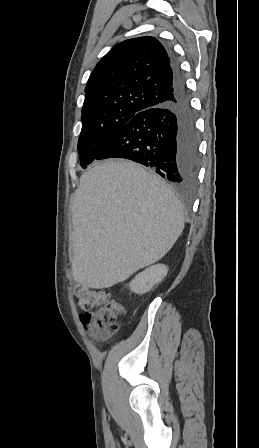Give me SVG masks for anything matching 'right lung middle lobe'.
<instances>
[{"label":"right lung middle lobe","instance_id":"1","mask_svg":"<svg viewBox=\"0 0 259 448\" xmlns=\"http://www.w3.org/2000/svg\"><path fill=\"white\" fill-rule=\"evenodd\" d=\"M140 112L142 111L129 110L108 114H83L78 140L81 167L86 168V165L95 160L118 132Z\"/></svg>","mask_w":259,"mask_h":448}]
</instances>
